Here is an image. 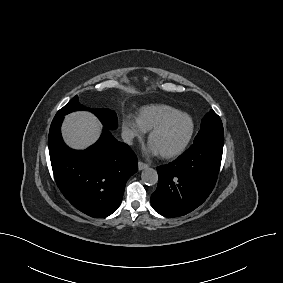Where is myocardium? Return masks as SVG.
Segmentation results:
<instances>
[{"label":"myocardium","mask_w":283,"mask_h":283,"mask_svg":"<svg viewBox=\"0 0 283 283\" xmlns=\"http://www.w3.org/2000/svg\"><path fill=\"white\" fill-rule=\"evenodd\" d=\"M176 117H185L189 120L190 122V129L189 132L186 136V138L184 139V141L175 149L168 151V152H163L160 153L161 157L165 158V159H170V158H175L179 155H181L185 149L187 148V146L189 145V143L192 140V137L194 135L195 132V122L192 118L191 115H189L186 112H182V111H177L175 113L169 114L167 116H165L164 118H162L159 122H157L149 131V140H151V138L158 132L160 131L168 122H170L172 119L176 118Z\"/></svg>","instance_id":"1"}]
</instances>
